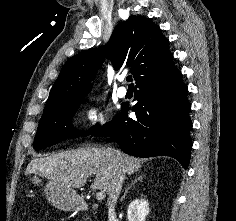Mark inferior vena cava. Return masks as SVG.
Segmentation results:
<instances>
[{
	"label": "inferior vena cava",
	"mask_w": 236,
	"mask_h": 221,
	"mask_svg": "<svg viewBox=\"0 0 236 221\" xmlns=\"http://www.w3.org/2000/svg\"><path fill=\"white\" fill-rule=\"evenodd\" d=\"M106 151L111 158L113 165L115 166L114 178L112 181V186L108 193L109 197L107 199L109 212H113L122 189L126 171L122 164L123 160L121 153L112 148H107Z\"/></svg>",
	"instance_id": "1"
}]
</instances>
